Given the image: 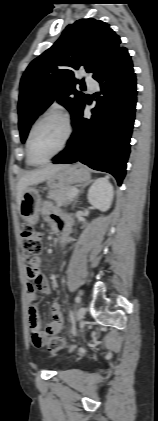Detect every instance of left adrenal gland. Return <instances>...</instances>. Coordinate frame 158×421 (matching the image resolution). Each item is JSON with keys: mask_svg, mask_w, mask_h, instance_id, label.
Instances as JSON below:
<instances>
[{"mask_svg": "<svg viewBox=\"0 0 158 421\" xmlns=\"http://www.w3.org/2000/svg\"><path fill=\"white\" fill-rule=\"evenodd\" d=\"M91 182H92V180H90V181L86 182V183L83 185L82 189L79 191V194L81 193V191L83 190V188H85V187H86L89 183H91ZM76 203H77V198H76V200H75V202H74L73 208L75 207Z\"/></svg>", "mask_w": 158, "mask_h": 421, "instance_id": "a2214340", "label": "left adrenal gland"}]
</instances>
